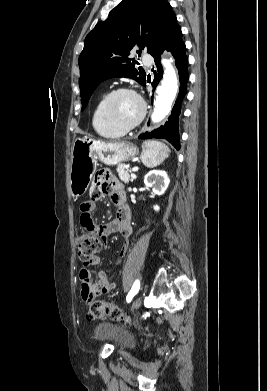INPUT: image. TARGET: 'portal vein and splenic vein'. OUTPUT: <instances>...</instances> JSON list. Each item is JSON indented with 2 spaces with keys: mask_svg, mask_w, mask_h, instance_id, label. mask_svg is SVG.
Returning <instances> with one entry per match:
<instances>
[{
  "mask_svg": "<svg viewBox=\"0 0 267 391\" xmlns=\"http://www.w3.org/2000/svg\"><path fill=\"white\" fill-rule=\"evenodd\" d=\"M126 168H129V166H126ZM133 170L135 171V170H136V168L134 167V168H133Z\"/></svg>",
  "mask_w": 267,
  "mask_h": 391,
  "instance_id": "18ae733b",
  "label": "portal vein and splenic vein"
}]
</instances>
